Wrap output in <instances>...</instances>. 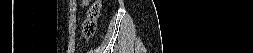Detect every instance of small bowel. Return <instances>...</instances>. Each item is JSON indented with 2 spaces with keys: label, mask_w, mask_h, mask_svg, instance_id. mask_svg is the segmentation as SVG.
I'll return each mask as SVG.
<instances>
[{
  "label": "small bowel",
  "mask_w": 253,
  "mask_h": 53,
  "mask_svg": "<svg viewBox=\"0 0 253 53\" xmlns=\"http://www.w3.org/2000/svg\"><path fill=\"white\" fill-rule=\"evenodd\" d=\"M80 5V7H86L90 4V0H81V1H77Z\"/></svg>",
  "instance_id": "obj_1"
}]
</instances>
